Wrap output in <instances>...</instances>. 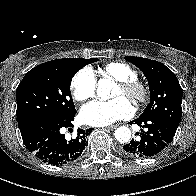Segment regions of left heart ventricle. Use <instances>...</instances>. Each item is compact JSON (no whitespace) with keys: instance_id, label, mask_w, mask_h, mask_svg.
Here are the masks:
<instances>
[{"instance_id":"b2bd125f","label":"left heart ventricle","mask_w":196,"mask_h":196,"mask_svg":"<svg viewBox=\"0 0 196 196\" xmlns=\"http://www.w3.org/2000/svg\"><path fill=\"white\" fill-rule=\"evenodd\" d=\"M113 97H124V98H128L126 93L119 87L116 86L114 93H113Z\"/></svg>"}]
</instances>
